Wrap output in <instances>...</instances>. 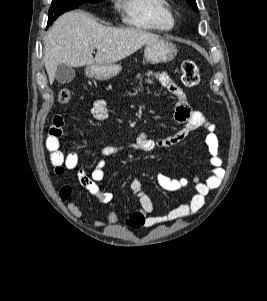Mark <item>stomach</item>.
<instances>
[{
  "label": "stomach",
  "mask_w": 267,
  "mask_h": 301,
  "mask_svg": "<svg viewBox=\"0 0 267 301\" xmlns=\"http://www.w3.org/2000/svg\"><path fill=\"white\" fill-rule=\"evenodd\" d=\"M176 54V45L163 38H160L153 43L146 44L144 49V57L146 61L153 64L170 62L174 60ZM121 70V65L115 63L95 64L88 68L87 74L91 78L103 81L117 76Z\"/></svg>",
  "instance_id": "stomach-1"
}]
</instances>
